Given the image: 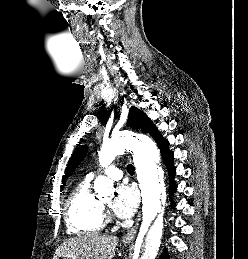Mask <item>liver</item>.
<instances>
[{"label":"liver","instance_id":"6515ba94","mask_svg":"<svg viewBox=\"0 0 248 259\" xmlns=\"http://www.w3.org/2000/svg\"><path fill=\"white\" fill-rule=\"evenodd\" d=\"M118 241L116 236L96 233L69 238L56 249L53 259H113Z\"/></svg>","mask_w":248,"mask_h":259}]
</instances>
